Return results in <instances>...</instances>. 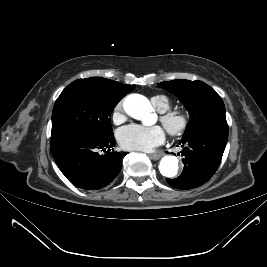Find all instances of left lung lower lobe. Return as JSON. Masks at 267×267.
<instances>
[{"mask_svg": "<svg viewBox=\"0 0 267 267\" xmlns=\"http://www.w3.org/2000/svg\"><path fill=\"white\" fill-rule=\"evenodd\" d=\"M228 138V131L207 130L182 138L184 169L176 179H166L175 188L191 189L207 182L216 172ZM179 146V145H177Z\"/></svg>", "mask_w": 267, "mask_h": 267, "instance_id": "obj_1", "label": "left lung lower lobe"}]
</instances>
